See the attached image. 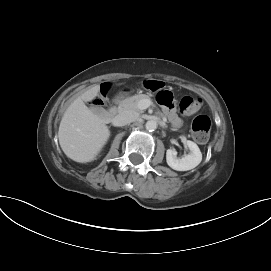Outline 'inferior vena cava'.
I'll return each instance as SVG.
<instances>
[{
  "mask_svg": "<svg viewBox=\"0 0 271 271\" xmlns=\"http://www.w3.org/2000/svg\"><path fill=\"white\" fill-rule=\"evenodd\" d=\"M138 115L132 111H123L115 117L117 126L127 125L137 119Z\"/></svg>",
  "mask_w": 271,
  "mask_h": 271,
  "instance_id": "1",
  "label": "inferior vena cava"
}]
</instances>
